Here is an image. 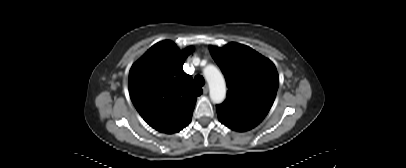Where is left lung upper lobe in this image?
<instances>
[{"label":"left lung upper lobe","instance_id":"obj_1","mask_svg":"<svg viewBox=\"0 0 406 168\" xmlns=\"http://www.w3.org/2000/svg\"><path fill=\"white\" fill-rule=\"evenodd\" d=\"M210 52L227 81V99L217 110L261 122L269 112L278 89L274 64L252 48L230 43L210 46Z\"/></svg>","mask_w":406,"mask_h":168}]
</instances>
